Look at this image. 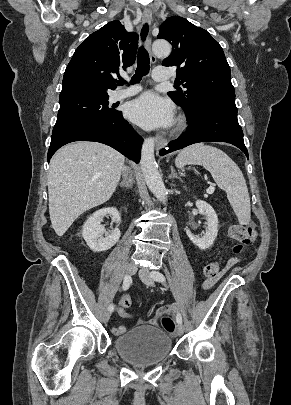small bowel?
Here are the masks:
<instances>
[{
  "label": "small bowel",
  "instance_id": "c3829d8e",
  "mask_svg": "<svg viewBox=\"0 0 291 405\" xmlns=\"http://www.w3.org/2000/svg\"><path fill=\"white\" fill-rule=\"evenodd\" d=\"M236 263H237V259L236 258H231L228 261L225 269H228V268L232 267ZM213 284H214V280H207V281L204 282L203 288L208 289ZM116 311H117V314L120 317H123V318L132 319V318L136 317L134 314L127 313L125 311V308L121 304H119L117 306ZM176 311H177V307L174 306V305L164 306V307H161V308H159L157 310L156 316L160 317V316H163V315H174L176 313ZM140 322H141V320H138V323H140ZM111 332L115 336H119V335H122L123 333L126 332V328L123 325L113 326L112 329H111Z\"/></svg>",
  "mask_w": 291,
  "mask_h": 405
}]
</instances>
